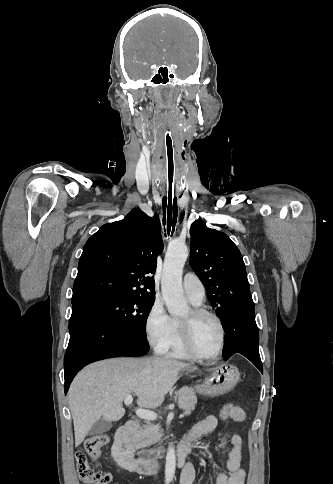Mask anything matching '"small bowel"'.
<instances>
[{
  "mask_svg": "<svg viewBox=\"0 0 333 484\" xmlns=\"http://www.w3.org/2000/svg\"><path fill=\"white\" fill-rule=\"evenodd\" d=\"M245 418L244 410L236 406L227 418L236 423L242 422ZM218 424L215 416L209 415L200 422L196 423L186 434L184 440L191 443L196 439L212 432ZM228 443H231L232 448L227 454L226 470L221 472L217 478L216 484H244L246 472L242 466L241 445L242 439L239 434H233L231 437L223 436L219 447L224 449ZM195 468L192 463H187L181 473V484H194Z\"/></svg>",
  "mask_w": 333,
  "mask_h": 484,
  "instance_id": "small-bowel-1",
  "label": "small bowel"
}]
</instances>
